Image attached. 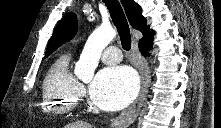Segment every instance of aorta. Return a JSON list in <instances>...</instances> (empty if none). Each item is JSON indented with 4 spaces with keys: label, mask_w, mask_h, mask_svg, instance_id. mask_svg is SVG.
Listing matches in <instances>:
<instances>
[{
    "label": "aorta",
    "mask_w": 221,
    "mask_h": 128,
    "mask_svg": "<svg viewBox=\"0 0 221 128\" xmlns=\"http://www.w3.org/2000/svg\"><path fill=\"white\" fill-rule=\"evenodd\" d=\"M116 30L110 25H101L88 38L79 61L75 65V74L85 82L92 80L103 49L115 38Z\"/></svg>",
    "instance_id": "obj_1"
}]
</instances>
